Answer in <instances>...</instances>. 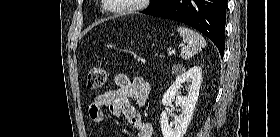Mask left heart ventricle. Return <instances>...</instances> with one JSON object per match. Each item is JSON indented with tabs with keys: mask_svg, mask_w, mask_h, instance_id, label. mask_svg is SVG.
<instances>
[{
	"mask_svg": "<svg viewBox=\"0 0 280 137\" xmlns=\"http://www.w3.org/2000/svg\"><path fill=\"white\" fill-rule=\"evenodd\" d=\"M114 6H127L133 3V0H112Z\"/></svg>",
	"mask_w": 280,
	"mask_h": 137,
	"instance_id": "left-heart-ventricle-1",
	"label": "left heart ventricle"
}]
</instances>
